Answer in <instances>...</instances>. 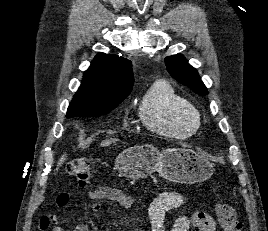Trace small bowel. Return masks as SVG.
Listing matches in <instances>:
<instances>
[{
  "instance_id": "obj_1",
  "label": "small bowel",
  "mask_w": 268,
  "mask_h": 231,
  "mask_svg": "<svg viewBox=\"0 0 268 231\" xmlns=\"http://www.w3.org/2000/svg\"><path fill=\"white\" fill-rule=\"evenodd\" d=\"M87 197L92 201L91 210L99 212L102 209L101 200H109L119 204L124 209H131L133 199L112 186H100L88 192ZM187 198L176 192H161L151 202L148 208V220L150 231H165L164 223L169 211L183 206ZM66 204V199H62L60 206ZM54 225L52 231H68L57 224L54 215L42 216L39 221V230L46 231L50 225ZM213 219L204 212H196L191 216H181L175 220L170 231H214ZM86 224H78L71 231H88Z\"/></svg>"
}]
</instances>
